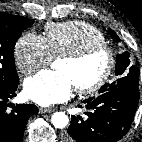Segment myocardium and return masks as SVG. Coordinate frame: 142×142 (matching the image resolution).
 <instances>
[{
	"mask_svg": "<svg viewBox=\"0 0 142 142\" xmlns=\"http://www.w3.org/2000/svg\"><path fill=\"white\" fill-rule=\"evenodd\" d=\"M103 53L106 56L107 63L102 75L93 83L85 86H76L75 91L79 94L91 95L101 90L110 80L113 75L116 65V56L114 50L106 44H95L87 46L77 52L69 53L60 56L62 60H67L73 63H81L86 59L98 54Z\"/></svg>",
	"mask_w": 142,
	"mask_h": 142,
	"instance_id": "obj_1",
	"label": "myocardium"
}]
</instances>
